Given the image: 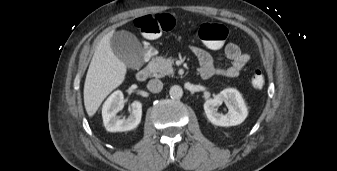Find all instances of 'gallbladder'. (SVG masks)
Segmentation results:
<instances>
[{"instance_id": "gallbladder-1", "label": "gallbladder", "mask_w": 337, "mask_h": 171, "mask_svg": "<svg viewBox=\"0 0 337 171\" xmlns=\"http://www.w3.org/2000/svg\"><path fill=\"white\" fill-rule=\"evenodd\" d=\"M111 48L128 67L138 69L142 65L144 50L133 34L126 31L114 33L111 38Z\"/></svg>"}]
</instances>
